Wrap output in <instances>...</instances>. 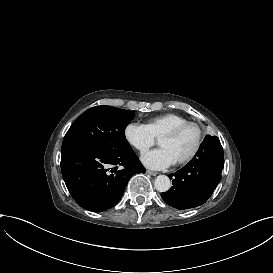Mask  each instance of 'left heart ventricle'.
Listing matches in <instances>:
<instances>
[{
  "instance_id": "obj_1",
  "label": "left heart ventricle",
  "mask_w": 273,
  "mask_h": 273,
  "mask_svg": "<svg viewBox=\"0 0 273 273\" xmlns=\"http://www.w3.org/2000/svg\"><path fill=\"white\" fill-rule=\"evenodd\" d=\"M196 136L197 129L192 127L177 136L160 139L159 145L160 147L166 148L175 162H178L190 153L194 146Z\"/></svg>"
}]
</instances>
